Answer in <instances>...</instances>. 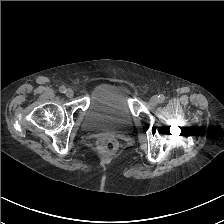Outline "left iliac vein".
<instances>
[{
    "mask_svg": "<svg viewBox=\"0 0 224 224\" xmlns=\"http://www.w3.org/2000/svg\"><path fill=\"white\" fill-rule=\"evenodd\" d=\"M159 97L158 96H153L151 99H150V103L153 104V105H157L159 103Z\"/></svg>",
    "mask_w": 224,
    "mask_h": 224,
    "instance_id": "obj_1",
    "label": "left iliac vein"
}]
</instances>
